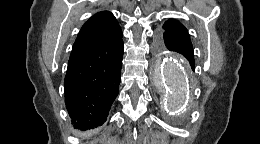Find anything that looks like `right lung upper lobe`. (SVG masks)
Segmentation results:
<instances>
[{
  "instance_id": "obj_1",
  "label": "right lung upper lobe",
  "mask_w": 260,
  "mask_h": 144,
  "mask_svg": "<svg viewBox=\"0 0 260 144\" xmlns=\"http://www.w3.org/2000/svg\"><path fill=\"white\" fill-rule=\"evenodd\" d=\"M120 35L122 31L113 14L109 11L98 12L82 26L73 49L111 41Z\"/></svg>"
}]
</instances>
